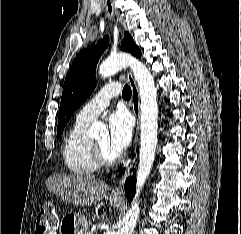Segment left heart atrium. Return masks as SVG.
<instances>
[{
    "instance_id": "left-heart-atrium-1",
    "label": "left heart atrium",
    "mask_w": 241,
    "mask_h": 234,
    "mask_svg": "<svg viewBox=\"0 0 241 234\" xmlns=\"http://www.w3.org/2000/svg\"><path fill=\"white\" fill-rule=\"evenodd\" d=\"M108 125L110 147L116 154H120L131 141L132 121L126 112L117 111L109 116Z\"/></svg>"
}]
</instances>
